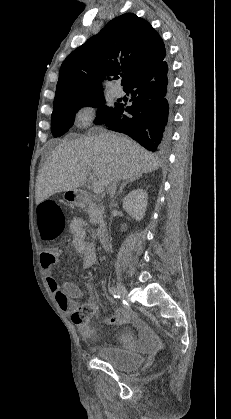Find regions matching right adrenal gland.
<instances>
[{
  "mask_svg": "<svg viewBox=\"0 0 231 419\" xmlns=\"http://www.w3.org/2000/svg\"><path fill=\"white\" fill-rule=\"evenodd\" d=\"M140 177H141V175H137V176L131 177V178L127 179L125 182H123V183H122V185H121V187H120V189H119V191H118V193H117V195L122 194L123 189H124V187H125L127 184H129V183H131V182H134L135 180H137V179H138V178H140Z\"/></svg>",
  "mask_w": 231,
  "mask_h": 419,
  "instance_id": "2a0ac1e0",
  "label": "right adrenal gland"
}]
</instances>
